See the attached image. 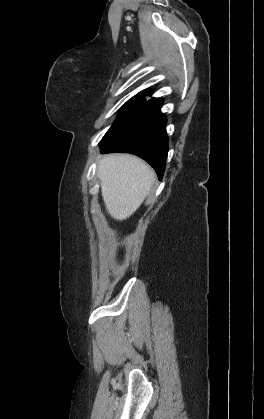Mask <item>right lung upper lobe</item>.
Here are the masks:
<instances>
[{"mask_svg": "<svg viewBox=\"0 0 264 419\" xmlns=\"http://www.w3.org/2000/svg\"><path fill=\"white\" fill-rule=\"evenodd\" d=\"M153 93V91L152 90H150V89H145V90H143V91H141V92H139L138 94H140V95H148V96H150L151 94Z\"/></svg>", "mask_w": 264, "mask_h": 419, "instance_id": "right-lung-upper-lobe-1", "label": "right lung upper lobe"}]
</instances>
